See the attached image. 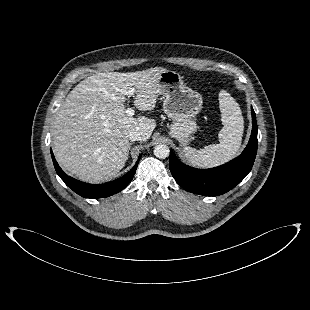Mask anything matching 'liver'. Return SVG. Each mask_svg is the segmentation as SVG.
<instances>
[{
  "mask_svg": "<svg viewBox=\"0 0 310 310\" xmlns=\"http://www.w3.org/2000/svg\"><path fill=\"white\" fill-rule=\"evenodd\" d=\"M166 70L97 73L73 88L57 113L53 130V151L59 164L86 182L115 177L128 159V133L138 130L142 141H147L156 127L154 119L126 115L127 92L134 87L138 110H153L159 75Z\"/></svg>",
  "mask_w": 310,
  "mask_h": 310,
  "instance_id": "6515ba94",
  "label": "liver"
}]
</instances>
